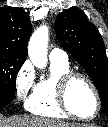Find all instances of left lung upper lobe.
Here are the masks:
<instances>
[{
  "label": "left lung upper lobe",
  "instance_id": "1",
  "mask_svg": "<svg viewBox=\"0 0 108 127\" xmlns=\"http://www.w3.org/2000/svg\"><path fill=\"white\" fill-rule=\"evenodd\" d=\"M55 32L62 47L85 69L99 91L108 117V59L97 28L79 8L65 10L56 18Z\"/></svg>",
  "mask_w": 108,
  "mask_h": 127
}]
</instances>
